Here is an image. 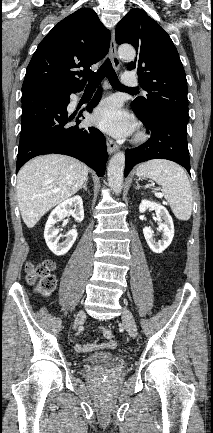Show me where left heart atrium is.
<instances>
[{"instance_id":"1","label":"left heart atrium","mask_w":213,"mask_h":433,"mask_svg":"<svg viewBox=\"0 0 213 433\" xmlns=\"http://www.w3.org/2000/svg\"><path fill=\"white\" fill-rule=\"evenodd\" d=\"M92 122L105 132L117 137L126 136L133 129L132 119L114 99L104 101L95 110Z\"/></svg>"}]
</instances>
